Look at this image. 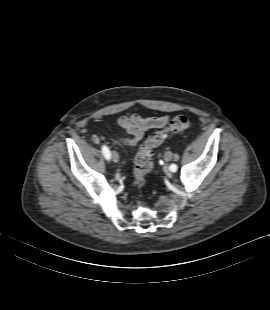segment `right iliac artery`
I'll use <instances>...</instances> for the list:
<instances>
[{"mask_svg": "<svg viewBox=\"0 0 270 310\" xmlns=\"http://www.w3.org/2000/svg\"><path fill=\"white\" fill-rule=\"evenodd\" d=\"M102 152H103V155L105 156V158H106L107 160H109L110 157H111V154H110L109 148H108L106 145H103V146H102Z\"/></svg>", "mask_w": 270, "mask_h": 310, "instance_id": "right-iliac-artery-1", "label": "right iliac artery"}]
</instances>
